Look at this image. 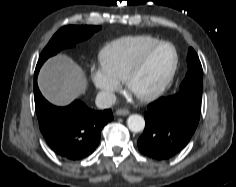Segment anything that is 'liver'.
I'll return each instance as SVG.
<instances>
[{"label": "liver", "mask_w": 236, "mask_h": 187, "mask_svg": "<svg viewBox=\"0 0 236 187\" xmlns=\"http://www.w3.org/2000/svg\"><path fill=\"white\" fill-rule=\"evenodd\" d=\"M38 86L49 102L65 106L85 93L87 81L78 64L70 57L59 54L47 60L41 68Z\"/></svg>", "instance_id": "liver-1"}]
</instances>
